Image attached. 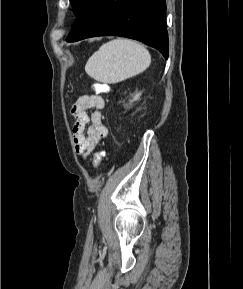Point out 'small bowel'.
<instances>
[{
	"label": "small bowel",
	"instance_id": "1",
	"mask_svg": "<svg viewBox=\"0 0 243 289\" xmlns=\"http://www.w3.org/2000/svg\"><path fill=\"white\" fill-rule=\"evenodd\" d=\"M104 98L99 94H85L71 107L74 118L73 141L76 152L87 157L108 134L102 121Z\"/></svg>",
	"mask_w": 243,
	"mask_h": 289
}]
</instances>
